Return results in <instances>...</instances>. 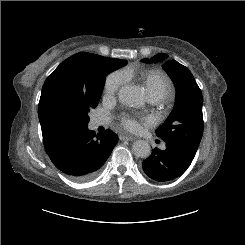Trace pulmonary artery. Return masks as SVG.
<instances>
[{
    "label": "pulmonary artery",
    "mask_w": 245,
    "mask_h": 245,
    "mask_svg": "<svg viewBox=\"0 0 245 245\" xmlns=\"http://www.w3.org/2000/svg\"><path fill=\"white\" fill-rule=\"evenodd\" d=\"M95 123H96L97 125H101V124H105L106 121H105V120H102V119H100V118H98V119L95 120Z\"/></svg>",
    "instance_id": "1"
}]
</instances>
